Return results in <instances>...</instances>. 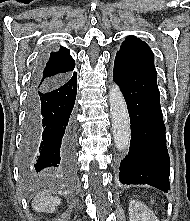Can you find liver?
Returning <instances> with one entry per match:
<instances>
[{
	"label": "liver",
	"instance_id": "1",
	"mask_svg": "<svg viewBox=\"0 0 190 221\" xmlns=\"http://www.w3.org/2000/svg\"><path fill=\"white\" fill-rule=\"evenodd\" d=\"M60 203L61 200L57 197L42 195L33 201V208L38 212L45 211L52 213Z\"/></svg>",
	"mask_w": 190,
	"mask_h": 221
}]
</instances>
